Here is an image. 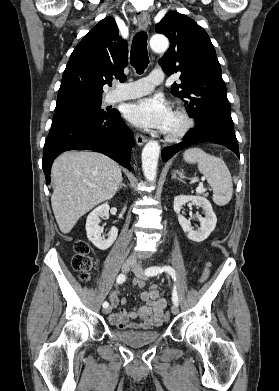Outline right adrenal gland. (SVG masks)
I'll return each mask as SVG.
<instances>
[{"label": "right adrenal gland", "mask_w": 279, "mask_h": 391, "mask_svg": "<svg viewBox=\"0 0 279 391\" xmlns=\"http://www.w3.org/2000/svg\"><path fill=\"white\" fill-rule=\"evenodd\" d=\"M122 187H125L126 188V185L123 183V179L121 180L120 182V185L118 187V190H120Z\"/></svg>", "instance_id": "obj_1"}]
</instances>
